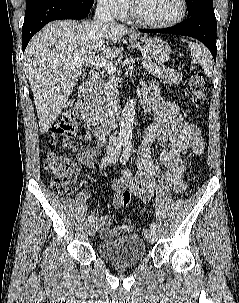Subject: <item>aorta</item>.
<instances>
[{
	"mask_svg": "<svg viewBox=\"0 0 239 303\" xmlns=\"http://www.w3.org/2000/svg\"><path fill=\"white\" fill-rule=\"evenodd\" d=\"M135 110L136 108L134 101L129 99L123 108L119 123V139L123 142H130L132 139Z\"/></svg>",
	"mask_w": 239,
	"mask_h": 303,
	"instance_id": "aorta-1",
	"label": "aorta"
}]
</instances>
